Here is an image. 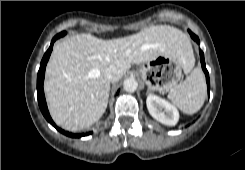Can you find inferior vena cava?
Wrapping results in <instances>:
<instances>
[{
    "label": "inferior vena cava",
    "mask_w": 245,
    "mask_h": 170,
    "mask_svg": "<svg viewBox=\"0 0 245 170\" xmlns=\"http://www.w3.org/2000/svg\"><path fill=\"white\" fill-rule=\"evenodd\" d=\"M104 76L109 82L114 83L119 81L122 75L116 67L112 66L105 71Z\"/></svg>",
    "instance_id": "602c4592"
}]
</instances>
